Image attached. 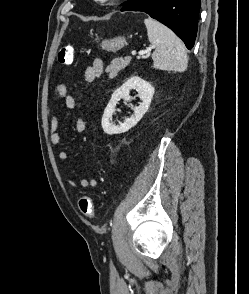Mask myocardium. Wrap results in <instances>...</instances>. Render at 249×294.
<instances>
[{"label": "myocardium", "mask_w": 249, "mask_h": 294, "mask_svg": "<svg viewBox=\"0 0 249 294\" xmlns=\"http://www.w3.org/2000/svg\"><path fill=\"white\" fill-rule=\"evenodd\" d=\"M100 5H112L115 4L116 2H119L120 0H94Z\"/></svg>", "instance_id": "f54148a6"}]
</instances>
